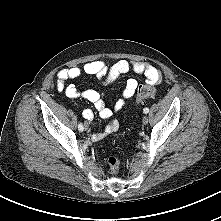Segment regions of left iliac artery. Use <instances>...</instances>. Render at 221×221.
I'll return each instance as SVG.
<instances>
[{
    "label": "left iliac artery",
    "mask_w": 221,
    "mask_h": 221,
    "mask_svg": "<svg viewBox=\"0 0 221 221\" xmlns=\"http://www.w3.org/2000/svg\"><path fill=\"white\" fill-rule=\"evenodd\" d=\"M143 111H144L145 114H147L149 112V109L148 108H144Z\"/></svg>",
    "instance_id": "obj_1"
}]
</instances>
